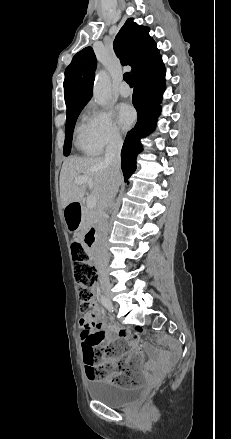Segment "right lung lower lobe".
Returning a JSON list of instances; mask_svg holds the SVG:
<instances>
[{
  "label": "right lung lower lobe",
  "mask_w": 231,
  "mask_h": 439,
  "mask_svg": "<svg viewBox=\"0 0 231 439\" xmlns=\"http://www.w3.org/2000/svg\"><path fill=\"white\" fill-rule=\"evenodd\" d=\"M165 67L162 57L149 68L134 76L135 88L132 102L138 112V121L124 141L121 151V167L125 182L136 170V157L141 152L140 139L154 130L159 106L165 90Z\"/></svg>",
  "instance_id": "1"
}]
</instances>
